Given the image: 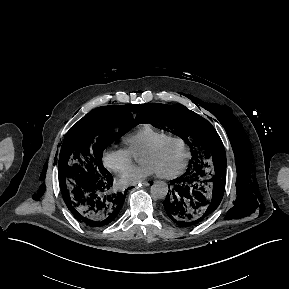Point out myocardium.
Masks as SVG:
<instances>
[{"label":"myocardium","instance_id":"f54148a6","mask_svg":"<svg viewBox=\"0 0 289 289\" xmlns=\"http://www.w3.org/2000/svg\"><path fill=\"white\" fill-rule=\"evenodd\" d=\"M170 141H176V142L181 143L183 145L185 151H186V156H185L184 162L177 170L170 172V173L158 174L159 177L165 178V179L176 178V177L180 176L181 174H183L185 172V170L187 169L188 164L191 160V148H190V145L188 144V142L184 138H182L178 135L169 134V135L163 137L162 139H160L159 141H157L156 143L143 149L139 153V155L145 154V153H154V152L158 151L165 143L170 142Z\"/></svg>","mask_w":289,"mask_h":289}]
</instances>
